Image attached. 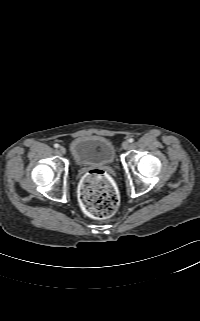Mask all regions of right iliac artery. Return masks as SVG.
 Returning <instances> with one entry per match:
<instances>
[{
  "label": "right iliac artery",
  "instance_id": "1",
  "mask_svg": "<svg viewBox=\"0 0 200 321\" xmlns=\"http://www.w3.org/2000/svg\"><path fill=\"white\" fill-rule=\"evenodd\" d=\"M54 147H55V148H58V147H59V144H57V143L54 144Z\"/></svg>",
  "mask_w": 200,
  "mask_h": 321
}]
</instances>
